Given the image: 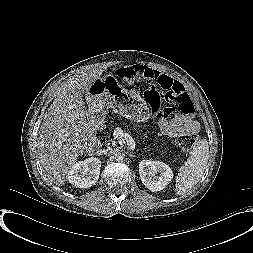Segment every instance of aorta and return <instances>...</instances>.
I'll return each mask as SVG.
<instances>
[{
    "mask_svg": "<svg viewBox=\"0 0 253 253\" xmlns=\"http://www.w3.org/2000/svg\"><path fill=\"white\" fill-rule=\"evenodd\" d=\"M123 158H124V155L121 154V153H118V154L115 155V160L118 161V162L122 161Z\"/></svg>",
    "mask_w": 253,
    "mask_h": 253,
    "instance_id": "762f6f07",
    "label": "aorta"
}]
</instances>
